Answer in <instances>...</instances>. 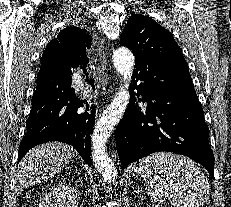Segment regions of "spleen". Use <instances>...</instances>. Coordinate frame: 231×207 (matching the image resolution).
Masks as SVG:
<instances>
[{
  "label": "spleen",
  "mask_w": 231,
  "mask_h": 207,
  "mask_svg": "<svg viewBox=\"0 0 231 207\" xmlns=\"http://www.w3.org/2000/svg\"><path fill=\"white\" fill-rule=\"evenodd\" d=\"M138 175L147 179V193L152 200L168 199L174 207H198L210 194L209 182L200 168L192 160L169 152L144 158Z\"/></svg>",
  "instance_id": "spleen-1"
}]
</instances>
